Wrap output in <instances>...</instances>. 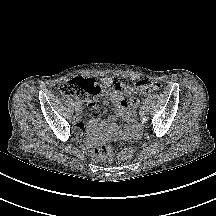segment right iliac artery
Segmentation results:
<instances>
[{"label": "right iliac artery", "instance_id": "right-iliac-artery-1", "mask_svg": "<svg viewBox=\"0 0 216 216\" xmlns=\"http://www.w3.org/2000/svg\"><path fill=\"white\" fill-rule=\"evenodd\" d=\"M75 106H81V101H75Z\"/></svg>", "mask_w": 216, "mask_h": 216}]
</instances>
